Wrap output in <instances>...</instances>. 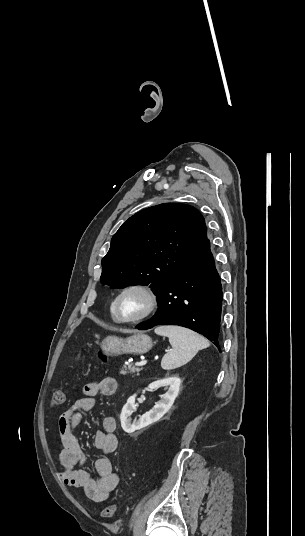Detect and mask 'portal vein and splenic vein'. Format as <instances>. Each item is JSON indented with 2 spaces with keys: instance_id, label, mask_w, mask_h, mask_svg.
Returning <instances> with one entry per match:
<instances>
[{
  "instance_id": "1",
  "label": "portal vein and splenic vein",
  "mask_w": 305,
  "mask_h": 536,
  "mask_svg": "<svg viewBox=\"0 0 305 536\" xmlns=\"http://www.w3.org/2000/svg\"><path fill=\"white\" fill-rule=\"evenodd\" d=\"M144 364H147L146 360H143V362H136L135 366H144Z\"/></svg>"
}]
</instances>
